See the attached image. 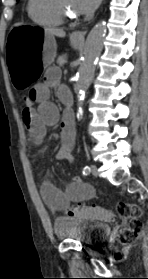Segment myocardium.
<instances>
[{"mask_svg": "<svg viewBox=\"0 0 148 279\" xmlns=\"http://www.w3.org/2000/svg\"><path fill=\"white\" fill-rule=\"evenodd\" d=\"M50 4L54 10V12L62 19V20H75L77 16L71 12H69L61 3V0H50Z\"/></svg>", "mask_w": 148, "mask_h": 279, "instance_id": "obj_1", "label": "myocardium"}]
</instances>
